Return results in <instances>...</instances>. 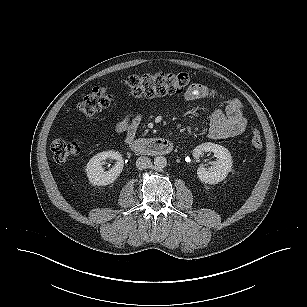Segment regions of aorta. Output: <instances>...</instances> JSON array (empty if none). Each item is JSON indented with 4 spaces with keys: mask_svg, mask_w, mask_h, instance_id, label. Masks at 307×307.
<instances>
[{
    "mask_svg": "<svg viewBox=\"0 0 307 307\" xmlns=\"http://www.w3.org/2000/svg\"><path fill=\"white\" fill-rule=\"evenodd\" d=\"M155 167L161 169L167 165V159L163 156H157L154 158Z\"/></svg>",
    "mask_w": 307,
    "mask_h": 307,
    "instance_id": "aorta-1",
    "label": "aorta"
}]
</instances>
